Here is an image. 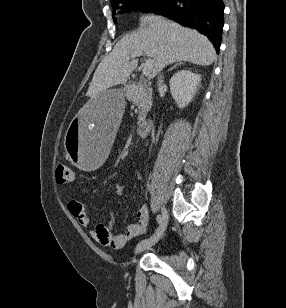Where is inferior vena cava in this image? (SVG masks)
<instances>
[{"mask_svg": "<svg viewBox=\"0 0 286 308\" xmlns=\"http://www.w3.org/2000/svg\"><path fill=\"white\" fill-rule=\"evenodd\" d=\"M158 89L161 91L163 89V80H162V76L160 75V77L158 78Z\"/></svg>", "mask_w": 286, "mask_h": 308, "instance_id": "602c4592", "label": "inferior vena cava"}]
</instances>
